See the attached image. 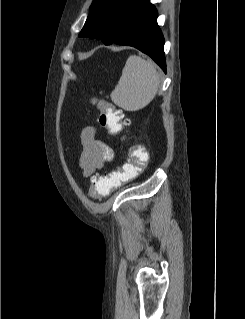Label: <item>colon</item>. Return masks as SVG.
Instances as JSON below:
<instances>
[{"mask_svg":"<svg viewBox=\"0 0 245 319\" xmlns=\"http://www.w3.org/2000/svg\"><path fill=\"white\" fill-rule=\"evenodd\" d=\"M99 110V124L111 135L122 133L130 124L122 112L109 101L94 99ZM122 166L108 174H93L90 180L89 194L92 197H105L111 191L138 177L146 168L149 156L140 144L131 145Z\"/></svg>","mask_w":245,"mask_h":319,"instance_id":"5ec220e1","label":"colon"}]
</instances>
